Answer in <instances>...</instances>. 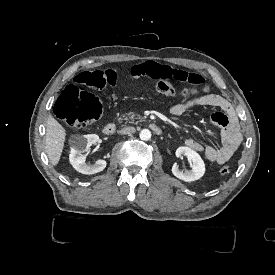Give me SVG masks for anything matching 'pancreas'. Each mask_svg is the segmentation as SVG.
I'll list each match as a JSON object with an SVG mask.
<instances>
[{"instance_id": "1", "label": "pancreas", "mask_w": 275, "mask_h": 275, "mask_svg": "<svg viewBox=\"0 0 275 275\" xmlns=\"http://www.w3.org/2000/svg\"><path fill=\"white\" fill-rule=\"evenodd\" d=\"M122 118H123L124 120L130 119V120H132V122H134V119H142L140 115L135 114V113H133V112H130V113L126 114V115L123 114V115H122ZM122 118H119V120H121Z\"/></svg>"}]
</instances>
